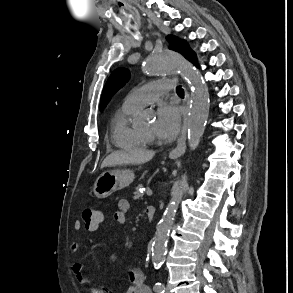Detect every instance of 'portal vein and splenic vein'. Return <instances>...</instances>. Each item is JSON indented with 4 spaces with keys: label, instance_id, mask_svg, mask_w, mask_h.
Here are the masks:
<instances>
[{
    "label": "portal vein and splenic vein",
    "instance_id": "1",
    "mask_svg": "<svg viewBox=\"0 0 293 293\" xmlns=\"http://www.w3.org/2000/svg\"><path fill=\"white\" fill-rule=\"evenodd\" d=\"M146 194H147V196H151V195L153 194V192H152L151 189H148V190L146 191Z\"/></svg>",
    "mask_w": 293,
    "mask_h": 293
}]
</instances>
